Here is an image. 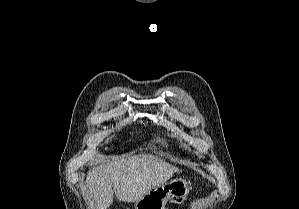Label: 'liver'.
<instances>
[{
	"mask_svg": "<svg viewBox=\"0 0 299 209\" xmlns=\"http://www.w3.org/2000/svg\"><path fill=\"white\" fill-rule=\"evenodd\" d=\"M179 169L152 155H135L96 166L87 175L92 209H107L116 197L136 202L166 183Z\"/></svg>",
	"mask_w": 299,
	"mask_h": 209,
	"instance_id": "1",
	"label": "liver"
}]
</instances>
